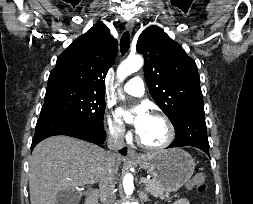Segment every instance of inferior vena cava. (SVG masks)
<instances>
[{"label":"inferior vena cava","instance_id":"1","mask_svg":"<svg viewBox=\"0 0 253 204\" xmlns=\"http://www.w3.org/2000/svg\"><path fill=\"white\" fill-rule=\"evenodd\" d=\"M107 146L109 148L106 157L107 168L99 183V190L100 197L105 201V204H112L115 200L114 188L117 173V168L114 166V157L118 154V150L124 146V131H111Z\"/></svg>","mask_w":253,"mask_h":204}]
</instances>
